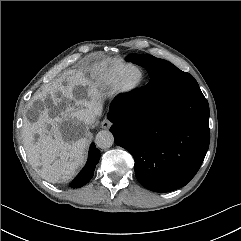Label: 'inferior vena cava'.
I'll return each mask as SVG.
<instances>
[{
  "instance_id": "obj_1",
  "label": "inferior vena cava",
  "mask_w": 241,
  "mask_h": 241,
  "mask_svg": "<svg viewBox=\"0 0 241 241\" xmlns=\"http://www.w3.org/2000/svg\"><path fill=\"white\" fill-rule=\"evenodd\" d=\"M101 114V105L96 103L91 105L89 108L84 109L81 115V119L86 124H91L94 122L97 116Z\"/></svg>"
}]
</instances>
